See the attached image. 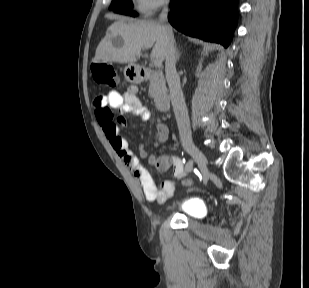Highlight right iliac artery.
I'll return each mask as SVG.
<instances>
[{
	"label": "right iliac artery",
	"instance_id": "obj_1",
	"mask_svg": "<svg viewBox=\"0 0 309 288\" xmlns=\"http://www.w3.org/2000/svg\"><path fill=\"white\" fill-rule=\"evenodd\" d=\"M196 166L197 168H203V163H201V160H196Z\"/></svg>",
	"mask_w": 309,
	"mask_h": 288
}]
</instances>
